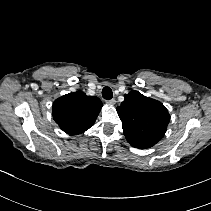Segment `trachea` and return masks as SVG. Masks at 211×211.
Returning <instances> with one entry per match:
<instances>
[{"instance_id":"obj_1","label":"trachea","mask_w":211,"mask_h":211,"mask_svg":"<svg viewBox=\"0 0 211 211\" xmlns=\"http://www.w3.org/2000/svg\"><path fill=\"white\" fill-rule=\"evenodd\" d=\"M102 97L106 100H110L113 97V92L110 87H104L102 89Z\"/></svg>"}]
</instances>
